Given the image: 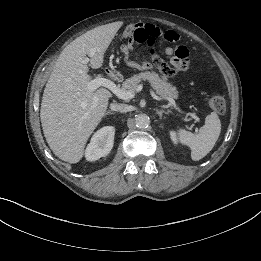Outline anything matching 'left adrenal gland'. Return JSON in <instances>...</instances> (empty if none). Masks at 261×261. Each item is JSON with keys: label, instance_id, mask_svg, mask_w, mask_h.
Wrapping results in <instances>:
<instances>
[{"label": "left adrenal gland", "instance_id": "left-adrenal-gland-1", "mask_svg": "<svg viewBox=\"0 0 261 261\" xmlns=\"http://www.w3.org/2000/svg\"><path fill=\"white\" fill-rule=\"evenodd\" d=\"M155 111L159 115L160 119H162L163 114H168L169 113V111H165V110H158V109H156Z\"/></svg>", "mask_w": 261, "mask_h": 261}]
</instances>
